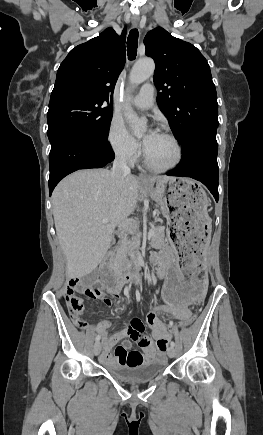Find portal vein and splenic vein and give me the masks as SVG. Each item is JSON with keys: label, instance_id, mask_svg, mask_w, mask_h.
I'll list each match as a JSON object with an SVG mask.
<instances>
[{"label": "portal vein and splenic vein", "instance_id": "obj_1", "mask_svg": "<svg viewBox=\"0 0 263 435\" xmlns=\"http://www.w3.org/2000/svg\"><path fill=\"white\" fill-rule=\"evenodd\" d=\"M107 222H109L108 219H103V220H102V223H107ZM153 228H154V227H152V228L149 229V231H148V237H152V236H153V233H154V232H153V231H154Z\"/></svg>", "mask_w": 263, "mask_h": 435}]
</instances>
